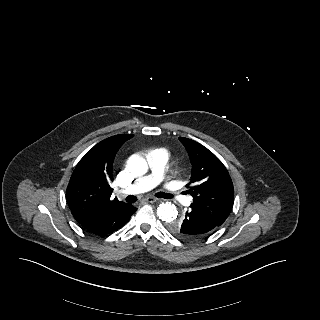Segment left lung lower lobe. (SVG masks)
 I'll use <instances>...</instances> for the list:
<instances>
[{
  "instance_id": "left-lung-lower-lobe-1",
  "label": "left lung lower lobe",
  "mask_w": 320,
  "mask_h": 320,
  "mask_svg": "<svg viewBox=\"0 0 320 320\" xmlns=\"http://www.w3.org/2000/svg\"><path fill=\"white\" fill-rule=\"evenodd\" d=\"M217 227H219V225L215 222L191 208H189L183 219H181V231L195 239L203 238L211 234Z\"/></svg>"
}]
</instances>
